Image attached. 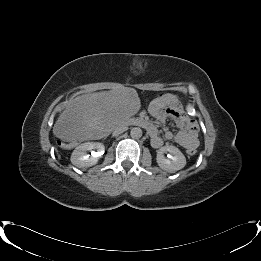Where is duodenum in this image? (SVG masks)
Returning a JSON list of instances; mask_svg holds the SVG:
<instances>
[{
	"mask_svg": "<svg viewBox=\"0 0 261 261\" xmlns=\"http://www.w3.org/2000/svg\"><path fill=\"white\" fill-rule=\"evenodd\" d=\"M137 122H138V123H141V124H144V123H145V120L142 119V120H138Z\"/></svg>",
	"mask_w": 261,
	"mask_h": 261,
	"instance_id": "duodenum-1",
	"label": "duodenum"
}]
</instances>
